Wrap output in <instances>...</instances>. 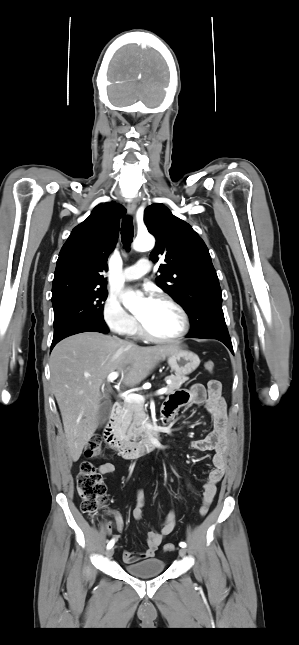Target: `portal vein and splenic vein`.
<instances>
[{
	"instance_id": "18ae733b",
	"label": "portal vein and splenic vein",
	"mask_w": 299,
	"mask_h": 645,
	"mask_svg": "<svg viewBox=\"0 0 299 645\" xmlns=\"http://www.w3.org/2000/svg\"><path fill=\"white\" fill-rule=\"evenodd\" d=\"M119 376L118 372H112L108 375L107 381L108 382H113L116 380ZM167 392L166 388H161L157 391V395H163ZM121 397L124 399L125 402H136V403H144L145 398L142 395L135 394V393H130V394H122Z\"/></svg>"
}]
</instances>
